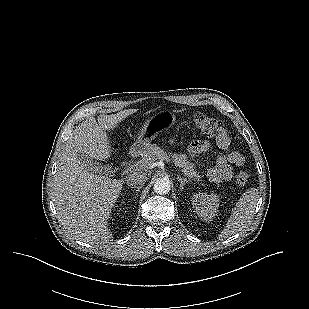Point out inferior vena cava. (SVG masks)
<instances>
[{
	"label": "inferior vena cava",
	"mask_w": 309,
	"mask_h": 309,
	"mask_svg": "<svg viewBox=\"0 0 309 309\" xmlns=\"http://www.w3.org/2000/svg\"><path fill=\"white\" fill-rule=\"evenodd\" d=\"M147 180L146 173L142 171H133L132 173L128 174L125 178V181L127 185L133 186V187H138V186H143L144 183Z\"/></svg>",
	"instance_id": "inferior-vena-cava-1"
}]
</instances>
